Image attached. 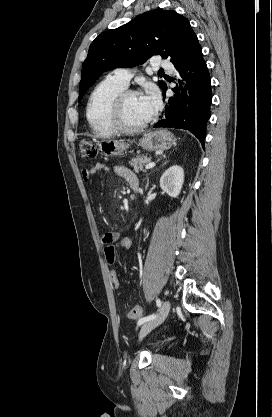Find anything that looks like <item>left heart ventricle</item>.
Listing matches in <instances>:
<instances>
[{
    "instance_id": "b2bd125f",
    "label": "left heart ventricle",
    "mask_w": 272,
    "mask_h": 417,
    "mask_svg": "<svg viewBox=\"0 0 272 417\" xmlns=\"http://www.w3.org/2000/svg\"><path fill=\"white\" fill-rule=\"evenodd\" d=\"M151 115L141 104L140 96H129L123 106V120L129 126H137L146 122Z\"/></svg>"
}]
</instances>
